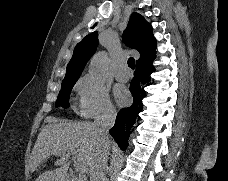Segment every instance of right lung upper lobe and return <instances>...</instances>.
<instances>
[{
	"instance_id": "obj_1",
	"label": "right lung upper lobe",
	"mask_w": 228,
	"mask_h": 181,
	"mask_svg": "<svg viewBox=\"0 0 228 181\" xmlns=\"http://www.w3.org/2000/svg\"><path fill=\"white\" fill-rule=\"evenodd\" d=\"M123 40L128 47L140 53V58L136 63L148 58L156 49V40L153 36L151 25L143 16L136 12L130 17L128 26L123 33ZM97 45V32L85 36L84 39L76 45L73 56L67 66L63 82L78 80L87 61L96 51Z\"/></svg>"
}]
</instances>
